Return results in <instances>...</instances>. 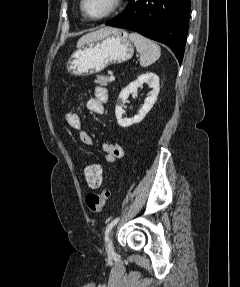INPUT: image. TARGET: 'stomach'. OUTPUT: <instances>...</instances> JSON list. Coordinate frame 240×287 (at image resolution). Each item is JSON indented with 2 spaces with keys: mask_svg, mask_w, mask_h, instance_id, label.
Here are the masks:
<instances>
[{
  "mask_svg": "<svg viewBox=\"0 0 240 287\" xmlns=\"http://www.w3.org/2000/svg\"><path fill=\"white\" fill-rule=\"evenodd\" d=\"M134 46L128 33L114 28L108 34L78 46L67 63V70L75 76L97 73L112 64L129 60Z\"/></svg>",
  "mask_w": 240,
  "mask_h": 287,
  "instance_id": "obj_1",
  "label": "stomach"
}]
</instances>
